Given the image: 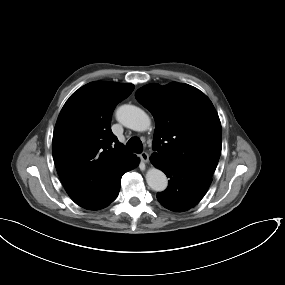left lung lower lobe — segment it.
I'll list each match as a JSON object with an SVG mask.
<instances>
[{
	"label": "left lung lower lobe",
	"instance_id": "1",
	"mask_svg": "<svg viewBox=\"0 0 285 285\" xmlns=\"http://www.w3.org/2000/svg\"><path fill=\"white\" fill-rule=\"evenodd\" d=\"M150 160L170 178L168 188L157 194L158 201L165 208L175 212L187 211L206 194L211 177L161 158L150 157Z\"/></svg>",
	"mask_w": 285,
	"mask_h": 285
}]
</instances>
